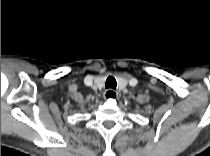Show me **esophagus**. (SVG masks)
<instances>
[{"label": "esophagus", "mask_w": 210, "mask_h": 156, "mask_svg": "<svg viewBox=\"0 0 210 156\" xmlns=\"http://www.w3.org/2000/svg\"><path fill=\"white\" fill-rule=\"evenodd\" d=\"M105 99H116L118 97V92L112 89H108L103 93Z\"/></svg>", "instance_id": "esophagus-1"}]
</instances>
